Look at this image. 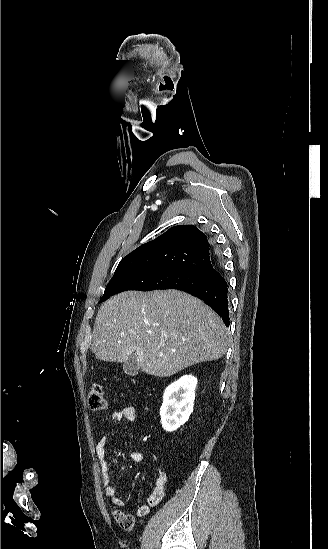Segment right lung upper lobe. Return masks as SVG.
<instances>
[{"instance_id": "1", "label": "right lung upper lobe", "mask_w": 328, "mask_h": 549, "mask_svg": "<svg viewBox=\"0 0 328 549\" xmlns=\"http://www.w3.org/2000/svg\"><path fill=\"white\" fill-rule=\"evenodd\" d=\"M134 267L182 269L202 275L207 280L220 274L214 247L194 225L174 226L141 245L121 260L116 271Z\"/></svg>"}]
</instances>
